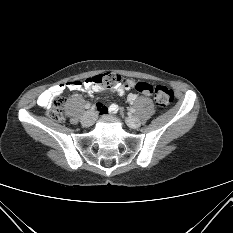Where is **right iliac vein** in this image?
<instances>
[{"instance_id": "obj_1", "label": "right iliac vein", "mask_w": 233, "mask_h": 233, "mask_svg": "<svg viewBox=\"0 0 233 233\" xmlns=\"http://www.w3.org/2000/svg\"><path fill=\"white\" fill-rule=\"evenodd\" d=\"M96 119V113L94 111H87L81 118V124L83 126H91Z\"/></svg>"}]
</instances>
